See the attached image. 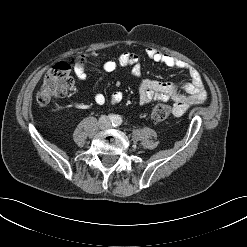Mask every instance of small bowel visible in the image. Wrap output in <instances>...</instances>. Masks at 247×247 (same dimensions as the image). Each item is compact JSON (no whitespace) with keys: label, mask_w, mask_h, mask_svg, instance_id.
<instances>
[{"label":"small bowel","mask_w":247,"mask_h":247,"mask_svg":"<svg viewBox=\"0 0 247 247\" xmlns=\"http://www.w3.org/2000/svg\"><path fill=\"white\" fill-rule=\"evenodd\" d=\"M94 55L98 56V53H95ZM146 56L150 60L165 66L185 71L189 75L191 81L185 84H176L144 78L142 75L140 58L137 54L132 52L123 53L115 60L105 61L102 67L108 72L120 68H131L132 76L136 78L139 83L140 102L142 104H148L154 100H172L175 103L174 114L176 116L184 114L191 105L199 104L206 100L207 93L204 88L202 77L195 68L170 54L154 48L147 49ZM75 73L80 80H87V75L83 67H75ZM123 97L124 95L121 91H114L111 94V99L115 103L122 101ZM94 101L96 104L102 105L105 103L106 97L102 93H97L94 95Z\"/></svg>","instance_id":"c3829d8e"}]
</instances>
